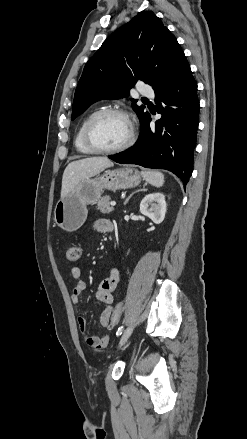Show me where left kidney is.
<instances>
[{"label": "left kidney", "instance_id": "1", "mask_svg": "<svg viewBox=\"0 0 247 439\" xmlns=\"http://www.w3.org/2000/svg\"><path fill=\"white\" fill-rule=\"evenodd\" d=\"M140 212L155 224H160L166 213L165 196L162 193L147 194L140 203Z\"/></svg>", "mask_w": 247, "mask_h": 439}]
</instances>
